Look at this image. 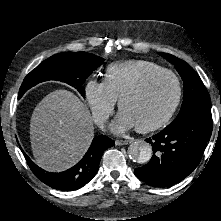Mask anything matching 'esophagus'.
Segmentation results:
<instances>
[{
  "label": "esophagus",
  "mask_w": 221,
  "mask_h": 221,
  "mask_svg": "<svg viewBox=\"0 0 221 221\" xmlns=\"http://www.w3.org/2000/svg\"><path fill=\"white\" fill-rule=\"evenodd\" d=\"M132 142V140H116L115 144L117 146L128 145Z\"/></svg>",
  "instance_id": "1"
}]
</instances>
